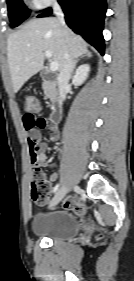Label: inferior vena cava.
Masks as SVG:
<instances>
[{
	"instance_id": "obj_1",
	"label": "inferior vena cava",
	"mask_w": 134,
	"mask_h": 281,
	"mask_svg": "<svg viewBox=\"0 0 134 281\" xmlns=\"http://www.w3.org/2000/svg\"><path fill=\"white\" fill-rule=\"evenodd\" d=\"M53 10H54V14L56 15L60 24L63 27H66L64 13L57 2H54ZM74 63L75 62H74L73 58L67 52L65 54L64 65L58 75V86H59V95H60L61 102H63L66 99V91L69 87V80H70L72 72H73Z\"/></svg>"
}]
</instances>
